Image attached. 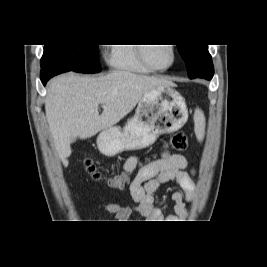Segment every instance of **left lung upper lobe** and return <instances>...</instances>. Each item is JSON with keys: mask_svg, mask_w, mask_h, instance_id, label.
<instances>
[{"mask_svg": "<svg viewBox=\"0 0 267 267\" xmlns=\"http://www.w3.org/2000/svg\"><path fill=\"white\" fill-rule=\"evenodd\" d=\"M186 63L189 78H197L207 71H214L207 45H177Z\"/></svg>", "mask_w": 267, "mask_h": 267, "instance_id": "5c2ea615", "label": "left lung upper lobe"}]
</instances>
